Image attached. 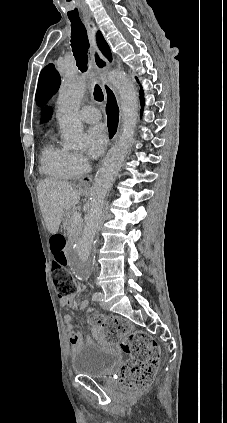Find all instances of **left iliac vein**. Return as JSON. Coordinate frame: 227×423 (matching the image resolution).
Listing matches in <instances>:
<instances>
[{
	"label": "left iliac vein",
	"instance_id": "1",
	"mask_svg": "<svg viewBox=\"0 0 227 423\" xmlns=\"http://www.w3.org/2000/svg\"><path fill=\"white\" fill-rule=\"evenodd\" d=\"M100 305L101 307H103L104 309H107L108 306L105 302H103V294L101 293V300H100Z\"/></svg>",
	"mask_w": 227,
	"mask_h": 423
}]
</instances>
